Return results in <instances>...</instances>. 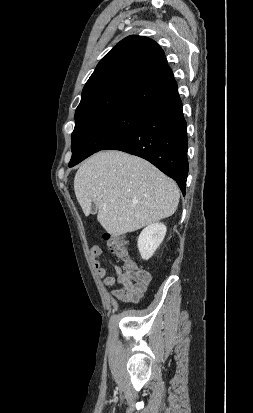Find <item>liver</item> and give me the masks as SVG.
<instances>
[{
    "mask_svg": "<svg viewBox=\"0 0 253 413\" xmlns=\"http://www.w3.org/2000/svg\"><path fill=\"white\" fill-rule=\"evenodd\" d=\"M76 198L86 216L97 207V220L120 236L172 216L180 193L174 180L148 161L117 150L87 159L74 178Z\"/></svg>",
    "mask_w": 253,
    "mask_h": 413,
    "instance_id": "1",
    "label": "liver"
}]
</instances>
